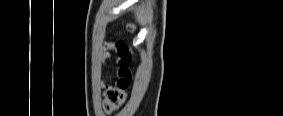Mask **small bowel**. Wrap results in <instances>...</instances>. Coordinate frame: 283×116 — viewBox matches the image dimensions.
<instances>
[{"instance_id":"obj_1","label":"small bowel","mask_w":283,"mask_h":116,"mask_svg":"<svg viewBox=\"0 0 283 116\" xmlns=\"http://www.w3.org/2000/svg\"><path fill=\"white\" fill-rule=\"evenodd\" d=\"M103 49L107 55L111 51H116V69L118 77H125L130 75V71L127 69V65L130 62L131 56L129 55L126 46L123 43H109L106 42L103 45Z\"/></svg>"}]
</instances>
